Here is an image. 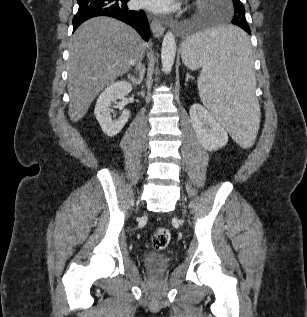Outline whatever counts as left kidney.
I'll use <instances>...</instances> for the list:
<instances>
[{
  "label": "left kidney",
  "instance_id": "5707ae66",
  "mask_svg": "<svg viewBox=\"0 0 307 317\" xmlns=\"http://www.w3.org/2000/svg\"><path fill=\"white\" fill-rule=\"evenodd\" d=\"M189 113L196 136L205 148L218 150L227 144L226 130L201 104H193Z\"/></svg>",
  "mask_w": 307,
  "mask_h": 317
}]
</instances>
